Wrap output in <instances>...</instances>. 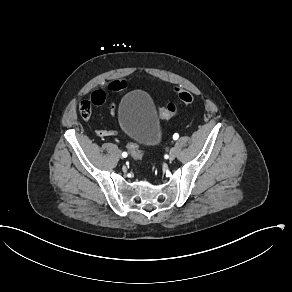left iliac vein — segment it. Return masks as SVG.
<instances>
[{"label":"left iliac vein","mask_w":292,"mask_h":292,"mask_svg":"<svg viewBox=\"0 0 292 292\" xmlns=\"http://www.w3.org/2000/svg\"><path fill=\"white\" fill-rule=\"evenodd\" d=\"M175 157H176V149L172 148L169 152V160L172 161L175 159Z\"/></svg>","instance_id":"left-iliac-vein-1"}]
</instances>
